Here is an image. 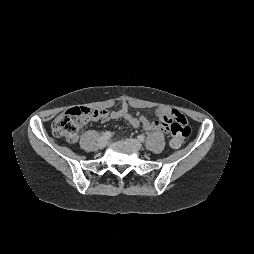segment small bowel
<instances>
[{"instance_id": "small-bowel-1", "label": "small bowel", "mask_w": 254, "mask_h": 254, "mask_svg": "<svg viewBox=\"0 0 254 254\" xmlns=\"http://www.w3.org/2000/svg\"><path fill=\"white\" fill-rule=\"evenodd\" d=\"M133 106V105H132ZM175 112L166 105H160L156 109V120L150 121L147 117L140 114H132L130 112V105L124 102L121 107L114 111L100 110L99 120L109 121L116 119H124L133 127H141L146 131H160L167 132L169 130V123L171 116Z\"/></svg>"}]
</instances>
